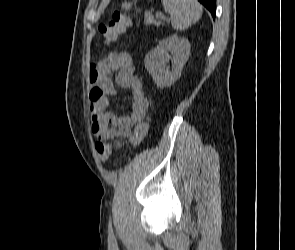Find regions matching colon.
<instances>
[{"instance_id":"obj_1","label":"colon","mask_w":295,"mask_h":250,"mask_svg":"<svg viewBox=\"0 0 295 250\" xmlns=\"http://www.w3.org/2000/svg\"><path fill=\"white\" fill-rule=\"evenodd\" d=\"M131 23V17L128 13L115 11L107 23H101L98 26V32L106 42L115 41L120 35L125 33ZM148 131V122L144 121L138 124L134 129L133 145H138L146 136ZM120 147L119 143L110 144L105 142H96L95 149L99 159L106 162L111 154Z\"/></svg>"}]
</instances>
